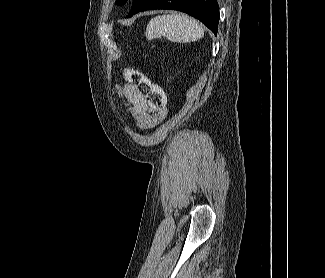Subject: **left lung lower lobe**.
Wrapping results in <instances>:
<instances>
[{"label": "left lung lower lobe", "instance_id": "1", "mask_svg": "<svg viewBox=\"0 0 325 278\" xmlns=\"http://www.w3.org/2000/svg\"><path fill=\"white\" fill-rule=\"evenodd\" d=\"M150 9H172L185 12L200 20L217 35L219 6L216 0H133L127 18Z\"/></svg>", "mask_w": 325, "mask_h": 278}]
</instances>
